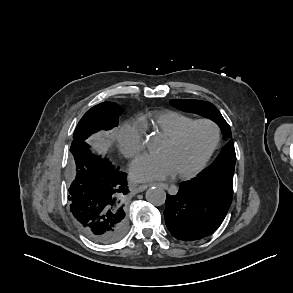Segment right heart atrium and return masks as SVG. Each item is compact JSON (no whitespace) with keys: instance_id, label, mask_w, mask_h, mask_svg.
<instances>
[{"instance_id":"obj_1","label":"right heart atrium","mask_w":293,"mask_h":293,"mask_svg":"<svg viewBox=\"0 0 293 293\" xmlns=\"http://www.w3.org/2000/svg\"><path fill=\"white\" fill-rule=\"evenodd\" d=\"M144 129L135 122L124 123L117 131L115 141L119 151L129 159L135 158L144 150Z\"/></svg>"}]
</instances>
